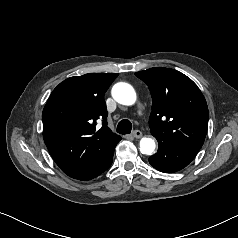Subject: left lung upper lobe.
Masks as SVG:
<instances>
[{
  "mask_svg": "<svg viewBox=\"0 0 238 238\" xmlns=\"http://www.w3.org/2000/svg\"><path fill=\"white\" fill-rule=\"evenodd\" d=\"M151 92V134L158 143L199 151L208 125V107L198 86L186 75L169 68L136 72Z\"/></svg>",
  "mask_w": 238,
  "mask_h": 238,
  "instance_id": "left-lung-upper-lobe-1",
  "label": "left lung upper lobe"
}]
</instances>
